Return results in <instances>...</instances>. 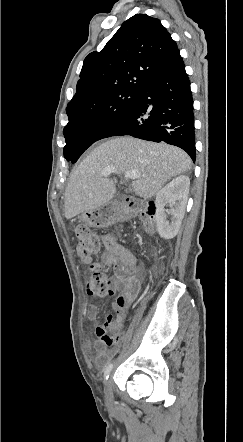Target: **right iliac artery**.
<instances>
[{
	"label": "right iliac artery",
	"instance_id": "obj_1",
	"mask_svg": "<svg viewBox=\"0 0 243 442\" xmlns=\"http://www.w3.org/2000/svg\"><path fill=\"white\" fill-rule=\"evenodd\" d=\"M113 368V364H109L104 371V379L107 380L109 378V374Z\"/></svg>",
	"mask_w": 243,
	"mask_h": 442
}]
</instances>
